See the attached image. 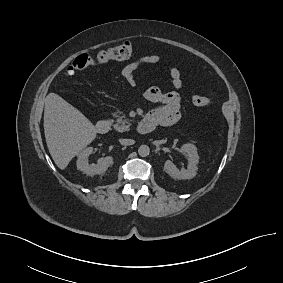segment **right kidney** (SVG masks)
Listing matches in <instances>:
<instances>
[{
  "mask_svg": "<svg viewBox=\"0 0 283 283\" xmlns=\"http://www.w3.org/2000/svg\"><path fill=\"white\" fill-rule=\"evenodd\" d=\"M93 153V148L88 147L80 152L77 160V169L83 173L93 176L104 173L113 164V158L106 156L98 160L97 164H89L88 158Z\"/></svg>",
  "mask_w": 283,
  "mask_h": 283,
  "instance_id": "right-kidney-1",
  "label": "right kidney"
}]
</instances>
